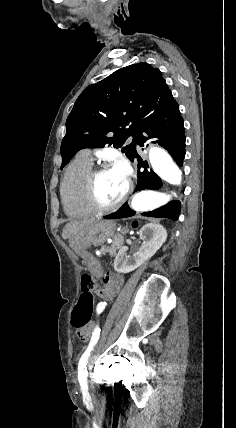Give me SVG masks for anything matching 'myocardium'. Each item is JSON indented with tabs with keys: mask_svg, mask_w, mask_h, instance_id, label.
I'll use <instances>...</instances> for the list:
<instances>
[{
	"mask_svg": "<svg viewBox=\"0 0 236 428\" xmlns=\"http://www.w3.org/2000/svg\"><path fill=\"white\" fill-rule=\"evenodd\" d=\"M110 169H118L124 171L128 175V186L124 195L114 203H104L100 200L97 194V182L99 178ZM134 190L133 172L127 165H122L118 168L114 164L105 163L93 169L85 182V197L89 206L97 212H108L119 209L131 197Z\"/></svg>",
	"mask_w": 236,
	"mask_h": 428,
	"instance_id": "1",
	"label": "myocardium"
}]
</instances>
